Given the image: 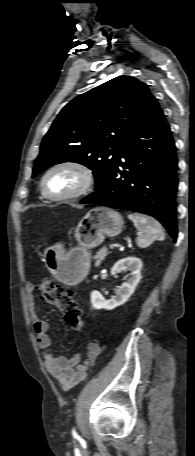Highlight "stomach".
<instances>
[{
  "label": "stomach",
  "instance_id": "obj_1",
  "mask_svg": "<svg viewBox=\"0 0 195 456\" xmlns=\"http://www.w3.org/2000/svg\"><path fill=\"white\" fill-rule=\"evenodd\" d=\"M124 221L119 212L96 207L77 224L74 235L78 246L65 250L56 245L44 252V261L50 272L61 282L75 285L83 280L90 268L89 250L99 246L106 236L121 233Z\"/></svg>",
  "mask_w": 195,
  "mask_h": 456
}]
</instances>
